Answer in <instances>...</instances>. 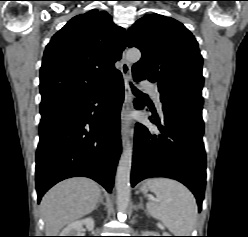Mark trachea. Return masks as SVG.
<instances>
[{"instance_id": "1", "label": "trachea", "mask_w": 248, "mask_h": 237, "mask_svg": "<svg viewBox=\"0 0 248 237\" xmlns=\"http://www.w3.org/2000/svg\"><path fill=\"white\" fill-rule=\"evenodd\" d=\"M130 85H131V88H132V91H133L134 94L140 95V96H146L145 94H143L142 92L137 90L132 84H130Z\"/></svg>"}]
</instances>
